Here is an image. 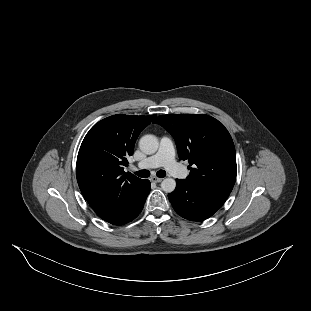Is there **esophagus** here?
Returning <instances> with one entry per match:
<instances>
[{
  "label": "esophagus",
  "instance_id": "1",
  "mask_svg": "<svg viewBox=\"0 0 311 311\" xmlns=\"http://www.w3.org/2000/svg\"><path fill=\"white\" fill-rule=\"evenodd\" d=\"M150 180H151L152 182H154V183H159V182H161L163 179L154 176V177H152Z\"/></svg>",
  "mask_w": 311,
  "mask_h": 311
}]
</instances>
